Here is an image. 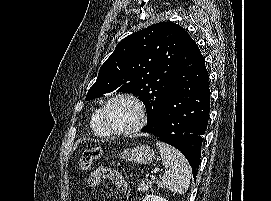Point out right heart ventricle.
I'll return each mask as SVG.
<instances>
[{"label":"right heart ventricle","instance_id":"e07e8e85","mask_svg":"<svg viewBox=\"0 0 271 201\" xmlns=\"http://www.w3.org/2000/svg\"><path fill=\"white\" fill-rule=\"evenodd\" d=\"M101 108H97L95 109V111L92 113L91 115V119H90V127L92 132L98 136V137H108L111 135V133H109L107 131V129L104 127L102 120H101Z\"/></svg>","mask_w":271,"mask_h":201}]
</instances>
